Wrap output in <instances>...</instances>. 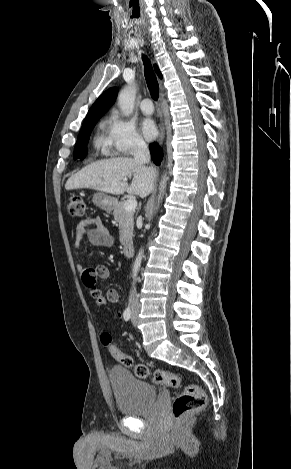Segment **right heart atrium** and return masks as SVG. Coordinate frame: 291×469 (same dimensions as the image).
I'll return each mask as SVG.
<instances>
[{"mask_svg":"<svg viewBox=\"0 0 291 469\" xmlns=\"http://www.w3.org/2000/svg\"><path fill=\"white\" fill-rule=\"evenodd\" d=\"M105 141L108 151L117 155H129L146 145L135 125L117 112H112L106 121Z\"/></svg>","mask_w":291,"mask_h":469,"instance_id":"d8ad5b80","label":"right heart atrium"}]
</instances>
